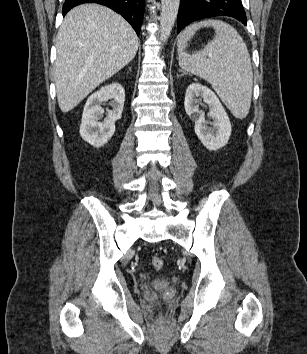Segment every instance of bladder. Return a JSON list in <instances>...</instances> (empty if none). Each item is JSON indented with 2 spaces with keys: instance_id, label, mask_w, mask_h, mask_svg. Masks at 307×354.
Segmentation results:
<instances>
[{
  "instance_id": "31cf9c89",
  "label": "bladder",
  "mask_w": 307,
  "mask_h": 354,
  "mask_svg": "<svg viewBox=\"0 0 307 354\" xmlns=\"http://www.w3.org/2000/svg\"><path fill=\"white\" fill-rule=\"evenodd\" d=\"M155 285L159 288H164L168 285V281L163 278H159L155 281Z\"/></svg>"
}]
</instances>
